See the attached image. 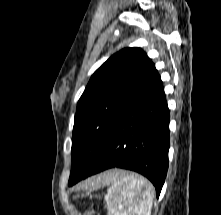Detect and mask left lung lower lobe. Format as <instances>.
<instances>
[{"label": "left lung lower lobe", "mask_w": 221, "mask_h": 215, "mask_svg": "<svg viewBox=\"0 0 221 215\" xmlns=\"http://www.w3.org/2000/svg\"><path fill=\"white\" fill-rule=\"evenodd\" d=\"M169 109L155 66L142 89L121 110L107 143L82 178L110 168L136 171L155 186L157 197L168 169ZM80 180H70L69 186Z\"/></svg>", "instance_id": "obj_1"}]
</instances>
